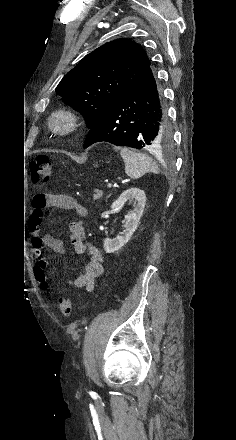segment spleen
Segmentation results:
<instances>
[{"label": "spleen", "mask_w": 236, "mask_h": 440, "mask_svg": "<svg viewBox=\"0 0 236 440\" xmlns=\"http://www.w3.org/2000/svg\"><path fill=\"white\" fill-rule=\"evenodd\" d=\"M120 153L125 163V172L130 178L139 179L148 172H158V166L148 155L129 148L121 149Z\"/></svg>", "instance_id": "spleen-1"}]
</instances>
